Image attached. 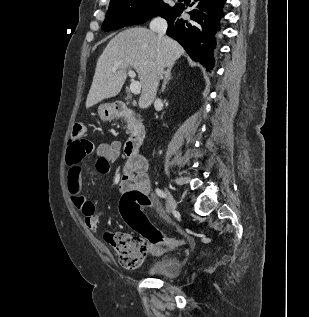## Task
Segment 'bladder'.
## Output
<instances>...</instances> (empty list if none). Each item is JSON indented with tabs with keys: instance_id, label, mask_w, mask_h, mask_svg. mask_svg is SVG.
Listing matches in <instances>:
<instances>
[{
	"instance_id": "obj_1",
	"label": "bladder",
	"mask_w": 309,
	"mask_h": 317,
	"mask_svg": "<svg viewBox=\"0 0 309 317\" xmlns=\"http://www.w3.org/2000/svg\"><path fill=\"white\" fill-rule=\"evenodd\" d=\"M182 270L181 261L176 257H164L152 263L147 274L150 276H159L165 278H175Z\"/></svg>"
}]
</instances>
